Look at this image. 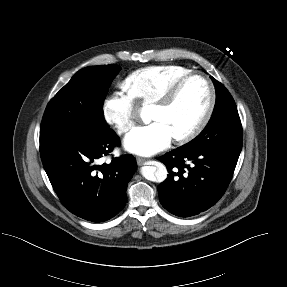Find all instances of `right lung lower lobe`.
<instances>
[{"label": "right lung lower lobe", "instance_id": "right-lung-lower-lobe-1", "mask_svg": "<svg viewBox=\"0 0 287 287\" xmlns=\"http://www.w3.org/2000/svg\"><path fill=\"white\" fill-rule=\"evenodd\" d=\"M120 144L112 129L90 139L69 140L40 147L48 178L64 206L76 216L103 222L126 204V189L137 164L126 154L97 165Z\"/></svg>", "mask_w": 287, "mask_h": 287}]
</instances>
